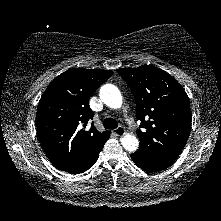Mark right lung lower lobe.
<instances>
[{
  "mask_svg": "<svg viewBox=\"0 0 221 221\" xmlns=\"http://www.w3.org/2000/svg\"><path fill=\"white\" fill-rule=\"evenodd\" d=\"M109 137L110 135L86 159H84L82 162H80L78 165H76L68 172L71 174H79L88 170L91 166H93L99 157V152L102 150L105 142L108 140Z\"/></svg>",
  "mask_w": 221,
  "mask_h": 221,
  "instance_id": "obj_1",
  "label": "right lung lower lobe"
}]
</instances>
